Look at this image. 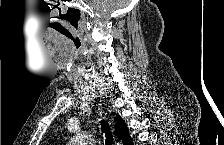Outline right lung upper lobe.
Returning <instances> with one entry per match:
<instances>
[{"mask_svg":"<svg viewBox=\"0 0 224 145\" xmlns=\"http://www.w3.org/2000/svg\"><path fill=\"white\" fill-rule=\"evenodd\" d=\"M117 124L115 125L116 136L119 140H122L125 145L132 144V140L129 137L128 128L122 118L116 115Z\"/></svg>","mask_w":224,"mask_h":145,"instance_id":"cb5924a9","label":"right lung upper lobe"}]
</instances>
